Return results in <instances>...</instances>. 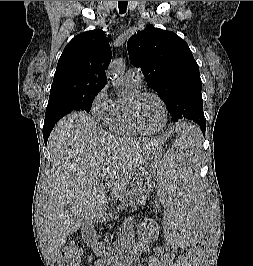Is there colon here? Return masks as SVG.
Instances as JSON below:
<instances>
[{"label":"colon","instance_id":"1","mask_svg":"<svg viewBox=\"0 0 253 266\" xmlns=\"http://www.w3.org/2000/svg\"><path fill=\"white\" fill-rule=\"evenodd\" d=\"M205 250V244L201 242L200 248H191L180 259V266H197ZM83 253L75 245L67 246L58 258L59 266H80Z\"/></svg>","mask_w":253,"mask_h":266}]
</instances>
